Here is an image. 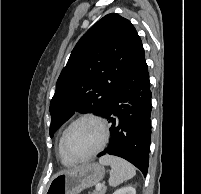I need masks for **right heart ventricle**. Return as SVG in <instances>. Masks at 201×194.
I'll list each match as a JSON object with an SVG mask.
<instances>
[{"instance_id": "obj_1", "label": "right heart ventricle", "mask_w": 201, "mask_h": 194, "mask_svg": "<svg viewBox=\"0 0 201 194\" xmlns=\"http://www.w3.org/2000/svg\"><path fill=\"white\" fill-rule=\"evenodd\" d=\"M60 141H61V136H60V138H59V140H58V145H57L59 158H60V160H61V162H62L63 165H65V166H71V165H73L74 163L71 162V161H69L68 159H66V158L62 155L61 150H60Z\"/></svg>"}]
</instances>
